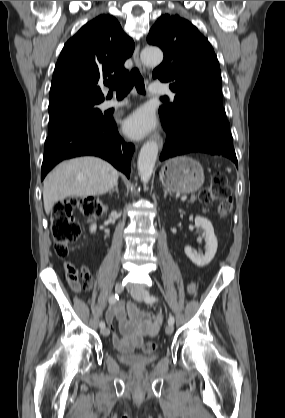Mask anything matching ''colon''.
Wrapping results in <instances>:
<instances>
[{
	"label": "colon",
	"instance_id": "1",
	"mask_svg": "<svg viewBox=\"0 0 285 418\" xmlns=\"http://www.w3.org/2000/svg\"><path fill=\"white\" fill-rule=\"evenodd\" d=\"M232 194L224 175L215 174L211 184L198 193V200L205 205L217 202V211L221 217H226L232 210ZM82 213L87 217H99L103 208L100 203L89 201L87 198H65L54 206L51 215V229L54 240V250L57 256L65 258L78 240L81 228L74 219L75 214ZM81 285L78 286V290ZM156 344L147 341L143 344L145 353L154 352Z\"/></svg>",
	"mask_w": 285,
	"mask_h": 418
}]
</instances>
